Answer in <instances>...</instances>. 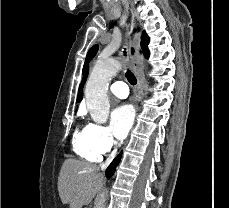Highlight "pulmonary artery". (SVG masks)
<instances>
[{"label": "pulmonary artery", "instance_id": "e3ab8cb5", "mask_svg": "<svg viewBox=\"0 0 229 208\" xmlns=\"http://www.w3.org/2000/svg\"><path fill=\"white\" fill-rule=\"evenodd\" d=\"M110 92L118 98H126L129 94L128 86L123 81L113 82L110 86Z\"/></svg>", "mask_w": 229, "mask_h": 208}]
</instances>
